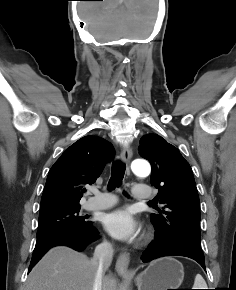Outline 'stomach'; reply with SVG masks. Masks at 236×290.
Returning <instances> with one entry per match:
<instances>
[{"mask_svg": "<svg viewBox=\"0 0 236 290\" xmlns=\"http://www.w3.org/2000/svg\"><path fill=\"white\" fill-rule=\"evenodd\" d=\"M184 279L183 265L172 257H164L151 262L136 277L138 290L178 289Z\"/></svg>", "mask_w": 236, "mask_h": 290, "instance_id": "0dacf381", "label": "stomach"}]
</instances>
